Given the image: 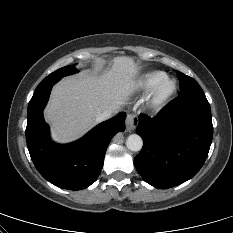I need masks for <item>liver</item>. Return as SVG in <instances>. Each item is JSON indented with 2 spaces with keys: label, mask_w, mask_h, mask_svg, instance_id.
Instances as JSON below:
<instances>
[{
  "label": "liver",
  "mask_w": 233,
  "mask_h": 233,
  "mask_svg": "<svg viewBox=\"0 0 233 233\" xmlns=\"http://www.w3.org/2000/svg\"><path fill=\"white\" fill-rule=\"evenodd\" d=\"M138 65L127 56L113 59L112 67L101 75L82 73L57 83L45 109L52 138L59 143L76 140L91 128L106 110L120 108L137 83Z\"/></svg>",
  "instance_id": "obj_1"
}]
</instances>
